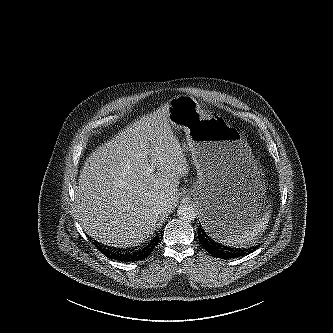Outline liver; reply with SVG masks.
<instances>
[{
	"label": "liver",
	"instance_id": "obj_1",
	"mask_svg": "<svg viewBox=\"0 0 333 333\" xmlns=\"http://www.w3.org/2000/svg\"><path fill=\"white\" fill-rule=\"evenodd\" d=\"M168 117V105L142 117L85 162L75 209L83 229L98 241L140 245L154 233L160 202L165 213L176 206L179 179L189 170Z\"/></svg>",
	"mask_w": 333,
	"mask_h": 333
}]
</instances>
